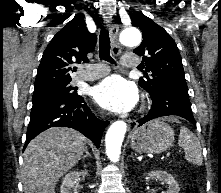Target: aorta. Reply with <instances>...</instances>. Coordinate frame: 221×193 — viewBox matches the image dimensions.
Returning <instances> with one entry per match:
<instances>
[{"label":"aorta","mask_w":221,"mask_h":193,"mask_svg":"<svg viewBox=\"0 0 221 193\" xmlns=\"http://www.w3.org/2000/svg\"><path fill=\"white\" fill-rule=\"evenodd\" d=\"M120 41L125 46H136L141 42V33L134 27L124 29ZM127 130L124 121L114 122L107 131L105 143L106 154L112 162H117L121 154V145Z\"/></svg>","instance_id":"aorta-1"}]
</instances>
